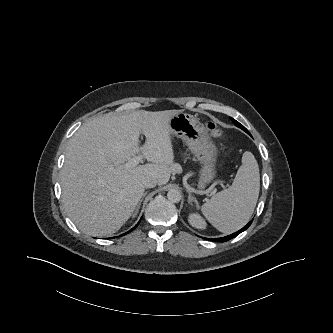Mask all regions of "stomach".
Listing matches in <instances>:
<instances>
[{
    "instance_id": "1",
    "label": "stomach",
    "mask_w": 333,
    "mask_h": 333,
    "mask_svg": "<svg viewBox=\"0 0 333 333\" xmlns=\"http://www.w3.org/2000/svg\"><path fill=\"white\" fill-rule=\"evenodd\" d=\"M171 134L181 138L202 164L199 172L201 184L216 177L217 147L205 126L191 114L179 112L170 119Z\"/></svg>"
}]
</instances>
